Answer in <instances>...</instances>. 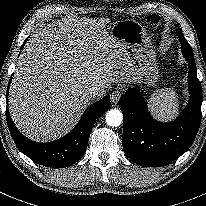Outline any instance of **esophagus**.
Wrapping results in <instances>:
<instances>
[{
    "label": "esophagus",
    "mask_w": 206,
    "mask_h": 206,
    "mask_svg": "<svg viewBox=\"0 0 206 206\" xmlns=\"http://www.w3.org/2000/svg\"><path fill=\"white\" fill-rule=\"evenodd\" d=\"M121 95H122V91L119 88H116L111 93V102L116 105L119 102Z\"/></svg>",
    "instance_id": "esophagus-1"
}]
</instances>
